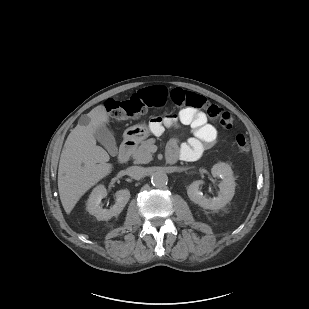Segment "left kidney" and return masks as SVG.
I'll return each mask as SVG.
<instances>
[{"label":"left kidney","instance_id":"obj_1","mask_svg":"<svg viewBox=\"0 0 309 309\" xmlns=\"http://www.w3.org/2000/svg\"><path fill=\"white\" fill-rule=\"evenodd\" d=\"M211 173L214 177H221L222 181L219 184V194L214 198H207L200 191L202 180L194 181L187 189L188 197L195 204H198L204 209L217 210L223 208L229 201L232 200L235 192V180L231 167L223 162L215 164Z\"/></svg>","mask_w":309,"mask_h":309}]
</instances>
